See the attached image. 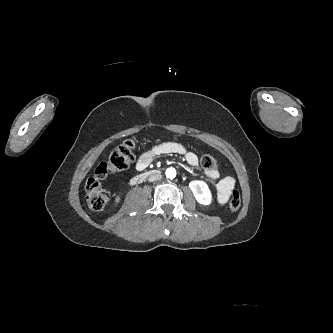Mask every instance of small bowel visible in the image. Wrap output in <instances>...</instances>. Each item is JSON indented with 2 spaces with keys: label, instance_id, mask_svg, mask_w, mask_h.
<instances>
[{
  "label": "small bowel",
  "instance_id": "1",
  "mask_svg": "<svg viewBox=\"0 0 333 333\" xmlns=\"http://www.w3.org/2000/svg\"><path fill=\"white\" fill-rule=\"evenodd\" d=\"M169 154L182 155L190 166H196L198 164V156L188 150L183 144L177 142H163L144 151L136 162V169L138 171H144L154 159ZM205 175L211 180L219 178V172L216 169L205 170ZM234 186L235 180L230 175L224 176L218 181L216 190L217 200L220 204H224L227 201Z\"/></svg>",
  "mask_w": 333,
  "mask_h": 333
}]
</instances>
